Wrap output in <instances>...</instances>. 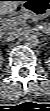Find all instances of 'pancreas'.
I'll use <instances>...</instances> for the list:
<instances>
[{
  "label": "pancreas",
  "instance_id": "pancreas-1",
  "mask_svg": "<svg viewBox=\"0 0 50 111\" xmlns=\"http://www.w3.org/2000/svg\"><path fill=\"white\" fill-rule=\"evenodd\" d=\"M29 17V18H33L30 14H23V15H20V16H17V17H14V18H11V19H7L4 21V27L6 29H11V28H14L16 27L17 25H21V26H24L25 23H26V18Z\"/></svg>",
  "mask_w": 50,
  "mask_h": 111
}]
</instances>
